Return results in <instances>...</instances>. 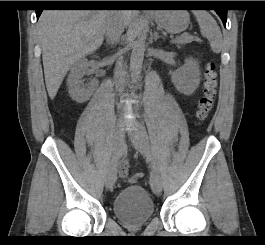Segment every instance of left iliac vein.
<instances>
[{
  "label": "left iliac vein",
  "instance_id": "1",
  "mask_svg": "<svg viewBox=\"0 0 265 245\" xmlns=\"http://www.w3.org/2000/svg\"><path fill=\"white\" fill-rule=\"evenodd\" d=\"M129 137L136 148V150L144 157H146L151 165L152 172L150 175V184L153 192L156 195H160L162 192L161 177L156 166V162L153 158L152 151L150 148L149 137L142 125H137L135 130L129 132Z\"/></svg>",
  "mask_w": 265,
  "mask_h": 245
}]
</instances>
